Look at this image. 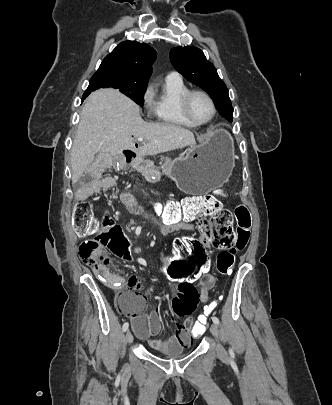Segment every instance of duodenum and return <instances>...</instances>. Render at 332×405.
<instances>
[{
	"label": "duodenum",
	"instance_id": "obj_1",
	"mask_svg": "<svg viewBox=\"0 0 332 405\" xmlns=\"http://www.w3.org/2000/svg\"><path fill=\"white\" fill-rule=\"evenodd\" d=\"M135 158V153L132 151H127L125 153V160L130 164ZM189 216L179 219H168L161 225V231L163 233H170L174 230H179L184 228V222L187 221Z\"/></svg>",
	"mask_w": 332,
	"mask_h": 405
}]
</instances>
